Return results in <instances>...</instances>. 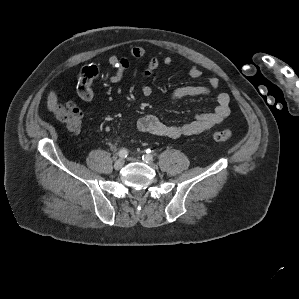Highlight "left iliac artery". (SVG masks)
Wrapping results in <instances>:
<instances>
[{"label": "left iliac artery", "mask_w": 299, "mask_h": 299, "mask_svg": "<svg viewBox=\"0 0 299 299\" xmlns=\"http://www.w3.org/2000/svg\"><path fill=\"white\" fill-rule=\"evenodd\" d=\"M142 159L146 162L149 163L150 161H152L153 157L150 154H146L142 157Z\"/></svg>", "instance_id": "44dca946"}]
</instances>
